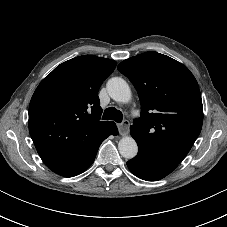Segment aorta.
Masks as SVG:
<instances>
[{"instance_id": "obj_1", "label": "aorta", "mask_w": 227, "mask_h": 227, "mask_svg": "<svg viewBox=\"0 0 227 227\" xmlns=\"http://www.w3.org/2000/svg\"><path fill=\"white\" fill-rule=\"evenodd\" d=\"M109 96L116 102L127 103L131 99V90L128 83L120 78L113 77L107 82ZM118 150L124 158H134L138 153L136 141L131 136L122 137L118 143Z\"/></svg>"}]
</instances>
